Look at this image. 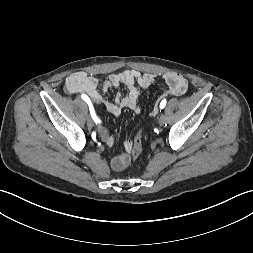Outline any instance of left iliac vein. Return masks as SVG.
I'll use <instances>...</instances> for the list:
<instances>
[{
  "label": "left iliac vein",
  "mask_w": 253,
  "mask_h": 253,
  "mask_svg": "<svg viewBox=\"0 0 253 253\" xmlns=\"http://www.w3.org/2000/svg\"><path fill=\"white\" fill-rule=\"evenodd\" d=\"M167 121V118L165 115H161L159 118H158V122L163 125L164 123H166Z\"/></svg>",
  "instance_id": "1"
}]
</instances>
